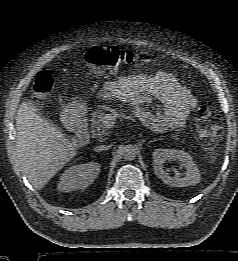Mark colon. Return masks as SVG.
Wrapping results in <instances>:
<instances>
[{"label": "colon", "instance_id": "colon-1", "mask_svg": "<svg viewBox=\"0 0 238 261\" xmlns=\"http://www.w3.org/2000/svg\"><path fill=\"white\" fill-rule=\"evenodd\" d=\"M84 61L93 67L98 75L105 76L140 61H148V57L119 47L95 46L85 53ZM53 87V72L49 69L42 70L33 83L34 99L38 101L47 97ZM196 125L200 138L206 146L213 147L218 143L222 134V121L211 108L207 106L198 108Z\"/></svg>", "mask_w": 238, "mask_h": 261}]
</instances>
